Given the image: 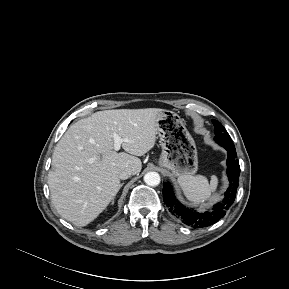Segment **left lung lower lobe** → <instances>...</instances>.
<instances>
[{
    "label": "left lung lower lobe",
    "instance_id": "1",
    "mask_svg": "<svg viewBox=\"0 0 289 289\" xmlns=\"http://www.w3.org/2000/svg\"><path fill=\"white\" fill-rule=\"evenodd\" d=\"M223 146L228 152L227 158V176L229 186L224 194L222 201L214 205V207L205 212H196L186 208L174 196L173 189L169 182L163 184V200L169 211L176 217L180 218L186 225L193 228H202L213 225L223 218L227 210L233 204L237 188L239 185L240 166L236 159L237 154L233 143L224 144Z\"/></svg>",
    "mask_w": 289,
    "mask_h": 289
}]
</instances>
